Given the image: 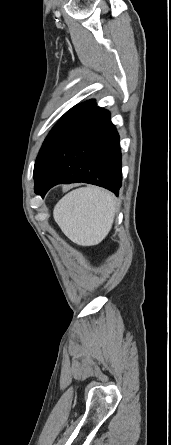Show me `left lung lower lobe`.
Returning <instances> with one entry per match:
<instances>
[{"label":"left lung lower lobe","mask_w":171,"mask_h":445,"mask_svg":"<svg viewBox=\"0 0 171 445\" xmlns=\"http://www.w3.org/2000/svg\"><path fill=\"white\" fill-rule=\"evenodd\" d=\"M42 196L60 183L84 182L116 195L122 183L119 135L107 110L94 107L72 126L34 176Z\"/></svg>","instance_id":"obj_1"}]
</instances>
